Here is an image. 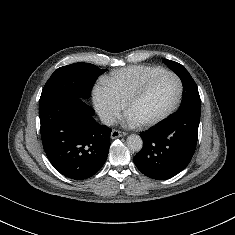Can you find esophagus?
<instances>
[{
  "label": "esophagus",
  "instance_id": "1",
  "mask_svg": "<svg viewBox=\"0 0 235 235\" xmlns=\"http://www.w3.org/2000/svg\"><path fill=\"white\" fill-rule=\"evenodd\" d=\"M126 135V132H122V131H119V130H112L111 132V138L112 139H116V138H119V137H124Z\"/></svg>",
  "mask_w": 235,
  "mask_h": 235
}]
</instances>
